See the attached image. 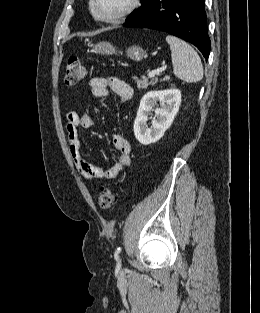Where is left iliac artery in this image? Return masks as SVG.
Segmentation results:
<instances>
[{"label":"left iliac artery","mask_w":260,"mask_h":313,"mask_svg":"<svg viewBox=\"0 0 260 313\" xmlns=\"http://www.w3.org/2000/svg\"><path fill=\"white\" fill-rule=\"evenodd\" d=\"M121 253V248L119 247L115 252V258L119 259V254Z\"/></svg>","instance_id":"obj_1"}]
</instances>
